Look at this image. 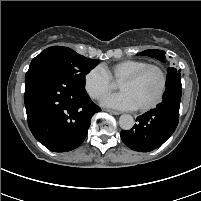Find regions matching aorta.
<instances>
[{"instance_id":"obj_1","label":"aorta","mask_w":201,"mask_h":201,"mask_svg":"<svg viewBox=\"0 0 201 201\" xmlns=\"http://www.w3.org/2000/svg\"><path fill=\"white\" fill-rule=\"evenodd\" d=\"M119 125L123 130H130L134 126V119L129 114H123L119 118Z\"/></svg>"}]
</instances>
